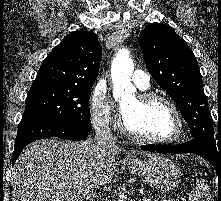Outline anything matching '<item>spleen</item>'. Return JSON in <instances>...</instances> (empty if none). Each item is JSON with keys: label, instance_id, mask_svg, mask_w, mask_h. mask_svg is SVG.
<instances>
[{"label": "spleen", "instance_id": "1", "mask_svg": "<svg viewBox=\"0 0 221 201\" xmlns=\"http://www.w3.org/2000/svg\"><path fill=\"white\" fill-rule=\"evenodd\" d=\"M189 201H211L210 189L200 175H197L196 186L188 196Z\"/></svg>", "mask_w": 221, "mask_h": 201}]
</instances>
